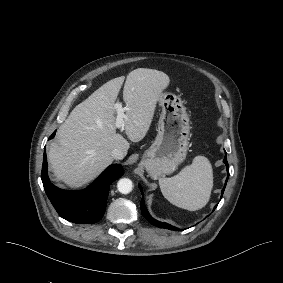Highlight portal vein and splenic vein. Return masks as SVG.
<instances>
[{
    "label": "portal vein and splenic vein",
    "instance_id": "1",
    "mask_svg": "<svg viewBox=\"0 0 283 283\" xmlns=\"http://www.w3.org/2000/svg\"><path fill=\"white\" fill-rule=\"evenodd\" d=\"M112 109L117 110V118H116V121H115V128H116V129H120L121 126H122V123H123V119H124V117H125V115H124V110H123L121 104H119V103H116V104L112 107Z\"/></svg>",
    "mask_w": 283,
    "mask_h": 283
}]
</instances>
